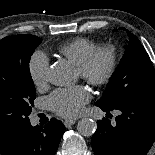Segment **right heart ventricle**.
Masks as SVG:
<instances>
[{
	"mask_svg": "<svg viewBox=\"0 0 155 155\" xmlns=\"http://www.w3.org/2000/svg\"><path fill=\"white\" fill-rule=\"evenodd\" d=\"M98 47L99 45L94 41L78 37L61 45L59 51L78 66Z\"/></svg>",
	"mask_w": 155,
	"mask_h": 155,
	"instance_id": "right-heart-ventricle-1",
	"label": "right heart ventricle"
}]
</instances>
